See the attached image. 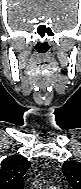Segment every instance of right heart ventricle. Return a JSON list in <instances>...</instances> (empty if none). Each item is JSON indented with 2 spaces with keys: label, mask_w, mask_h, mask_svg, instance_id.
<instances>
[{
  "label": "right heart ventricle",
  "mask_w": 81,
  "mask_h": 189,
  "mask_svg": "<svg viewBox=\"0 0 81 189\" xmlns=\"http://www.w3.org/2000/svg\"><path fill=\"white\" fill-rule=\"evenodd\" d=\"M50 189H59V188H56V187H52V188H50Z\"/></svg>",
  "instance_id": "1"
}]
</instances>
